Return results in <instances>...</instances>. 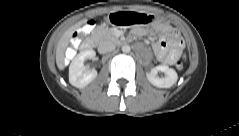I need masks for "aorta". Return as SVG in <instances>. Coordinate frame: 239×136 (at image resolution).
I'll return each mask as SVG.
<instances>
[{"mask_svg": "<svg viewBox=\"0 0 239 136\" xmlns=\"http://www.w3.org/2000/svg\"><path fill=\"white\" fill-rule=\"evenodd\" d=\"M122 51H123L124 53L130 52V46H129V45H123V46H122Z\"/></svg>", "mask_w": 239, "mask_h": 136, "instance_id": "obj_1", "label": "aorta"}]
</instances>
